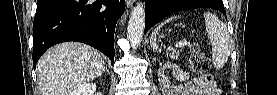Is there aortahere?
<instances>
[{"label":"aorta","instance_id":"aorta-1","mask_svg":"<svg viewBox=\"0 0 277 95\" xmlns=\"http://www.w3.org/2000/svg\"><path fill=\"white\" fill-rule=\"evenodd\" d=\"M144 28L145 9L143 4L139 2L131 11L127 27V38L132 48H137L141 44Z\"/></svg>","mask_w":277,"mask_h":95}]
</instances>
